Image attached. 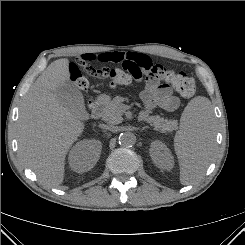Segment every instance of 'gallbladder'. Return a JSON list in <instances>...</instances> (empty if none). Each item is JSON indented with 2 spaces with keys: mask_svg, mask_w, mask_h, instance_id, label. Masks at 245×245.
Masks as SVG:
<instances>
[{
  "mask_svg": "<svg viewBox=\"0 0 245 245\" xmlns=\"http://www.w3.org/2000/svg\"><path fill=\"white\" fill-rule=\"evenodd\" d=\"M59 104L71 111L76 117L84 118L86 110L80 90L70 81H66L56 92Z\"/></svg>",
  "mask_w": 245,
  "mask_h": 245,
  "instance_id": "gallbladder-1",
  "label": "gallbladder"
}]
</instances>
